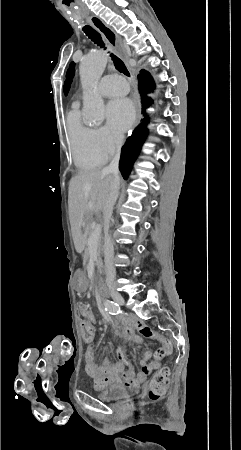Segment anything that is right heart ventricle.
Instances as JSON below:
<instances>
[{"label": "right heart ventricle", "instance_id": "right-heart-ventricle-1", "mask_svg": "<svg viewBox=\"0 0 241 450\" xmlns=\"http://www.w3.org/2000/svg\"><path fill=\"white\" fill-rule=\"evenodd\" d=\"M66 130L74 162L79 168H94L106 162L107 158L96 149V141L92 137L94 130L83 124L76 108L67 115ZM97 141L102 145L99 137Z\"/></svg>", "mask_w": 241, "mask_h": 450}]
</instances>
